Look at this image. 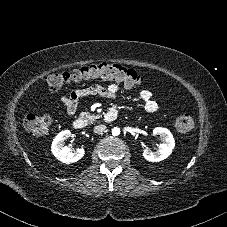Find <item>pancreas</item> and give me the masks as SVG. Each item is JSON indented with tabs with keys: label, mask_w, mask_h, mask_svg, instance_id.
Instances as JSON below:
<instances>
[{
	"label": "pancreas",
	"mask_w": 227,
	"mask_h": 227,
	"mask_svg": "<svg viewBox=\"0 0 227 227\" xmlns=\"http://www.w3.org/2000/svg\"><path fill=\"white\" fill-rule=\"evenodd\" d=\"M80 117L87 119L90 123H93L98 118V116L89 114L88 112L80 113Z\"/></svg>",
	"instance_id": "obj_1"
}]
</instances>
